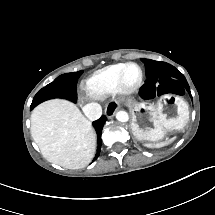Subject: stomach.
Returning a JSON list of instances; mask_svg holds the SVG:
<instances>
[{
	"label": "stomach",
	"instance_id": "obj_1",
	"mask_svg": "<svg viewBox=\"0 0 215 215\" xmlns=\"http://www.w3.org/2000/svg\"><path fill=\"white\" fill-rule=\"evenodd\" d=\"M131 129L139 141L168 143L171 135L182 131L189 120L187 102L177 95H164L156 102H127Z\"/></svg>",
	"mask_w": 215,
	"mask_h": 215
}]
</instances>
